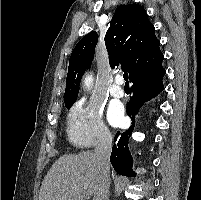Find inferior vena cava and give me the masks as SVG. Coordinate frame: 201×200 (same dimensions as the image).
Returning <instances> with one entry per match:
<instances>
[{
    "instance_id": "obj_1",
    "label": "inferior vena cava",
    "mask_w": 201,
    "mask_h": 200,
    "mask_svg": "<svg viewBox=\"0 0 201 200\" xmlns=\"http://www.w3.org/2000/svg\"><path fill=\"white\" fill-rule=\"evenodd\" d=\"M112 149V135H103L95 146V157L100 167L102 178L96 200H109L110 185V154Z\"/></svg>"
}]
</instances>
